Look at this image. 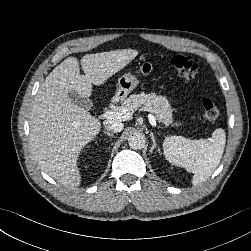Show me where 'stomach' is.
I'll use <instances>...</instances> for the list:
<instances>
[{
	"mask_svg": "<svg viewBox=\"0 0 251 251\" xmlns=\"http://www.w3.org/2000/svg\"><path fill=\"white\" fill-rule=\"evenodd\" d=\"M153 70V64L151 62H143L140 66V72L142 74H149ZM139 84L138 79L131 75L125 74L118 79L116 96L124 99L135 87Z\"/></svg>",
	"mask_w": 251,
	"mask_h": 251,
	"instance_id": "0dacf381",
	"label": "stomach"
}]
</instances>
